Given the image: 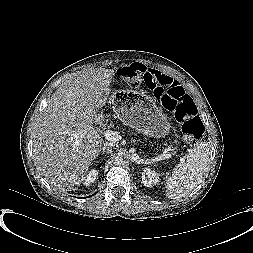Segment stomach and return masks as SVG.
I'll return each instance as SVG.
<instances>
[{
  "mask_svg": "<svg viewBox=\"0 0 253 253\" xmlns=\"http://www.w3.org/2000/svg\"><path fill=\"white\" fill-rule=\"evenodd\" d=\"M115 116L125 125L150 137H163L170 123L154 100L137 92L118 90L110 96Z\"/></svg>",
  "mask_w": 253,
  "mask_h": 253,
  "instance_id": "1",
  "label": "stomach"
}]
</instances>
